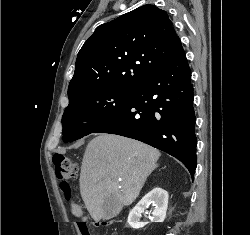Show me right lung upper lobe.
<instances>
[{
  "label": "right lung upper lobe",
  "mask_w": 250,
  "mask_h": 235,
  "mask_svg": "<svg viewBox=\"0 0 250 235\" xmlns=\"http://www.w3.org/2000/svg\"><path fill=\"white\" fill-rule=\"evenodd\" d=\"M179 42L168 14L154 5L100 25L78 53L69 102L101 89H135L168 63Z\"/></svg>",
  "instance_id": "obj_1"
}]
</instances>
